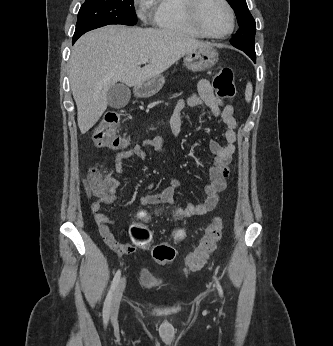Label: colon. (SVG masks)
I'll return each mask as SVG.
<instances>
[{"label": "colon", "mask_w": 333, "mask_h": 346, "mask_svg": "<svg viewBox=\"0 0 333 346\" xmlns=\"http://www.w3.org/2000/svg\"><path fill=\"white\" fill-rule=\"evenodd\" d=\"M214 90L219 98L232 100L236 95L234 73L232 69L223 67L219 69L213 80ZM121 114L119 112H108L100 121L93 134V141L99 148L120 149L128 145L124 136L117 133ZM87 191L91 196L103 198L108 192L106 178L102 176L100 169H91L86 176ZM223 232L221 219L216 218L206 228L199 244L186 258V271L195 272L200 270L208 255L216 248ZM129 235L133 243L138 247L150 246L152 238L151 231L142 225L129 226ZM184 238V233L179 231L175 235V241L180 242ZM153 259L161 265H167L174 261L176 257L175 248L169 243L156 244L152 248Z\"/></svg>", "instance_id": "5ec220e1"}]
</instances>
